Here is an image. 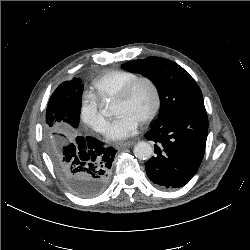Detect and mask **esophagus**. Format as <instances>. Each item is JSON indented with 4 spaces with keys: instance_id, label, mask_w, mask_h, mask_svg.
I'll return each instance as SVG.
<instances>
[{
    "instance_id": "obj_1",
    "label": "esophagus",
    "mask_w": 250,
    "mask_h": 250,
    "mask_svg": "<svg viewBox=\"0 0 250 250\" xmlns=\"http://www.w3.org/2000/svg\"><path fill=\"white\" fill-rule=\"evenodd\" d=\"M134 144V141H128V142H125V143H119V144H116V148H121V147H131L132 145Z\"/></svg>"
}]
</instances>
